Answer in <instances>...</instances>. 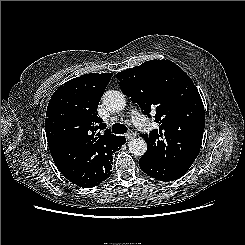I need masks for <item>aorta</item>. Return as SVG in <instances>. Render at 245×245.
<instances>
[{"instance_id": "aorta-1", "label": "aorta", "mask_w": 245, "mask_h": 245, "mask_svg": "<svg viewBox=\"0 0 245 245\" xmlns=\"http://www.w3.org/2000/svg\"><path fill=\"white\" fill-rule=\"evenodd\" d=\"M103 103L110 112H120L126 106L125 95L117 90H109L103 96ZM129 152L142 156L147 151V143L143 138H135L128 143Z\"/></svg>"}]
</instances>
